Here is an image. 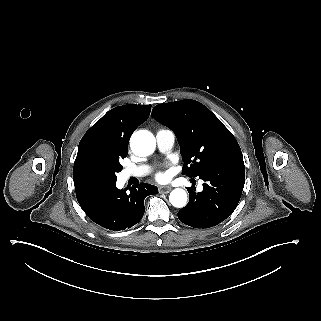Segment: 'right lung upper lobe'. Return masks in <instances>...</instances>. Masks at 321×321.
Instances as JSON below:
<instances>
[{
    "label": "right lung upper lobe",
    "instance_id": "right-lung-upper-lobe-1",
    "mask_svg": "<svg viewBox=\"0 0 321 321\" xmlns=\"http://www.w3.org/2000/svg\"><path fill=\"white\" fill-rule=\"evenodd\" d=\"M150 105H123L108 111L97 121L80 141V148L86 141L100 138L115 149H127L130 136L150 115ZM86 177L74 163L73 180Z\"/></svg>",
    "mask_w": 321,
    "mask_h": 321
}]
</instances>
